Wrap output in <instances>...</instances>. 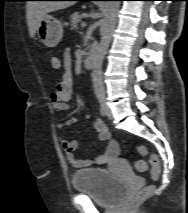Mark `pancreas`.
Segmentation results:
<instances>
[{"mask_svg": "<svg viewBox=\"0 0 188 213\" xmlns=\"http://www.w3.org/2000/svg\"><path fill=\"white\" fill-rule=\"evenodd\" d=\"M81 22V15L78 12L73 13L69 21L65 23L66 27H70L71 30L78 29V24Z\"/></svg>", "mask_w": 188, "mask_h": 213, "instance_id": "obj_1", "label": "pancreas"}]
</instances>
